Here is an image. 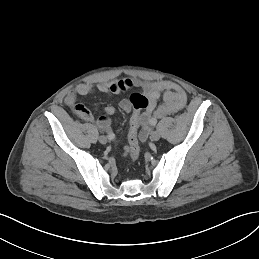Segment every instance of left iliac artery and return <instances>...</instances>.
Listing matches in <instances>:
<instances>
[{"instance_id": "obj_1", "label": "left iliac artery", "mask_w": 259, "mask_h": 259, "mask_svg": "<svg viewBox=\"0 0 259 259\" xmlns=\"http://www.w3.org/2000/svg\"><path fill=\"white\" fill-rule=\"evenodd\" d=\"M156 123H157V119H153L152 120V125H156Z\"/></svg>"}]
</instances>
